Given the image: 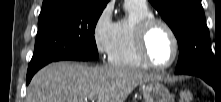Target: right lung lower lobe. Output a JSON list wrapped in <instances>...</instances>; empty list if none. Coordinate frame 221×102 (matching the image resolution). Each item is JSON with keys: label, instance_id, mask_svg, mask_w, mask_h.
Masks as SVG:
<instances>
[{"label": "right lung lower lobe", "instance_id": "right-lung-lower-lobe-1", "mask_svg": "<svg viewBox=\"0 0 221 102\" xmlns=\"http://www.w3.org/2000/svg\"><path fill=\"white\" fill-rule=\"evenodd\" d=\"M63 60H75V61H87L89 60L88 58H85V57H81V56H69ZM38 71V70H37ZM37 71H34V72H27V84L30 82V80L32 79L33 75L37 72Z\"/></svg>", "mask_w": 221, "mask_h": 102}]
</instances>
